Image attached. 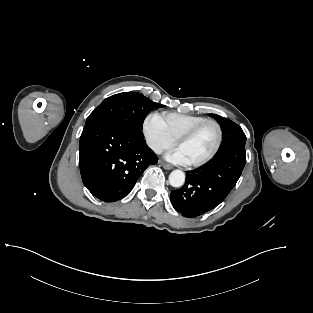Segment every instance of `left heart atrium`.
Here are the masks:
<instances>
[{"label": "left heart atrium", "instance_id": "1", "mask_svg": "<svg viewBox=\"0 0 313 313\" xmlns=\"http://www.w3.org/2000/svg\"><path fill=\"white\" fill-rule=\"evenodd\" d=\"M165 158L175 164H181V165H186L189 164V160L187 159V157L185 156V154L183 153V151L180 148H176L170 152H168L165 155Z\"/></svg>", "mask_w": 313, "mask_h": 313}]
</instances>
